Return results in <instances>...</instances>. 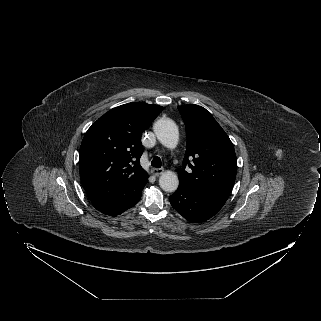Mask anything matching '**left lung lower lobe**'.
I'll use <instances>...</instances> for the list:
<instances>
[{"instance_id": "left-lung-lower-lobe-1", "label": "left lung lower lobe", "mask_w": 321, "mask_h": 321, "mask_svg": "<svg viewBox=\"0 0 321 321\" xmlns=\"http://www.w3.org/2000/svg\"><path fill=\"white\" fill-rule=\"evenodd\" d=\"M228 196L179 186L170 196L172 207L190 222L199 223L214 216Z\"/></svg>"}]
</instances>
